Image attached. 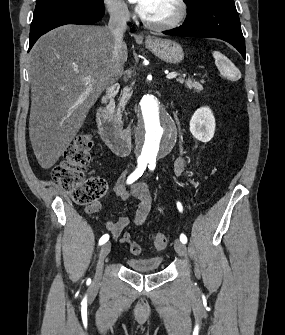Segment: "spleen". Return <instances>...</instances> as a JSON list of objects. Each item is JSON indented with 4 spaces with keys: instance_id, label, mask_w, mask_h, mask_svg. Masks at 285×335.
I'll use <instances>...</instances> for the list:
<instances>
[{
    "instance_id": "spleen-1",
    "label": "spleen",
    "mask_w": 285,
    "mask_h": 335,
    "mask_svg": "<svg viewBox=\"0 0 285 335\" xmlns=\"http://www.w3.org/2000/svg\"><path fill=\"white\" fill-rule=\"evenodd\" d=\"M213 58H215V60H218V58H220L219 52H213ZM225 70H227V68H225Z\"/></svg>"
}]
</instances>
